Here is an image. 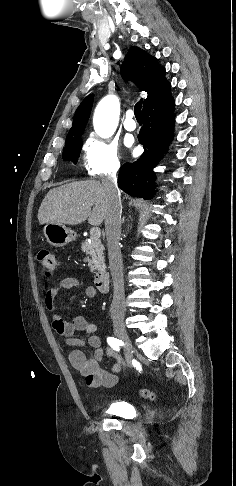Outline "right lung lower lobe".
I'll return each instance as SVG.
<instances>
[{
	"instance_id": "right-lung-lower-lobe-1",
	"label": "right lung lower lobe",
	"mask_w": 236,
	"mask_h": 486,
	"mask_svg": "<svg viewBox=\"0 0 236 486\" xmlns=\"http://www.w3.org/2000/svg\"><path fill=\"white\" fill-rule=\"evenodd\" d=\"M174 99L171 93L143 107V127L138 135L144 153L119 172L118 186L126 193L148 199L155 180L153 168L168 150L173 131ZM149 182L147 184V181Z\"/></svg>"
}]
</instances>
